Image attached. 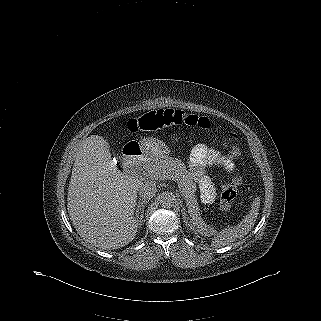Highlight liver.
<instances>
[{"label": "liver", "mask_w": 321, "mask_h": 321, "mask_svg": "<svg viewBox=\"0 0 321 321\" xmlns=\"http://www.w3.org/2000/svg\"><path fill=\"white\" fill-rule=\"evenodd\" d=\"M142 179L118 170L109 143L91 135L80 145L67 194V209L77 231L101 249H117L137 233L134 217Z\"/></svg>", "instance_id": "obj_1"}]
</instances>
